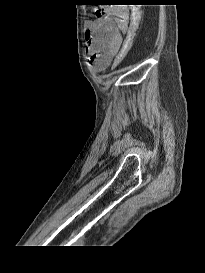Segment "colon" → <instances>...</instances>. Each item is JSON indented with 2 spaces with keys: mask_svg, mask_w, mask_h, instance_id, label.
I'll return each mask as SVG.
<instances>
[{
  "mask_svg": "<svg viewBox=\"0 0 205 273\" xmlns=\"http://www.w3.org/2000/svg\"><path fill=\"white\" fill-rule=\"evenodd\" d=\"M137 19H138L137 15H134L132 23L130 25L129 32H128L125 42L123 44V47H122L121 51L119 52V54L117 55V57L115 58V61L113 64L114 68H117L124 61V59L127 57L128 53L131 49V46H132V43H133V40H134V37L136 34V29L138 26Z\"/></svg>",
  "mask_w": 205,
  "mask_h": 273,
  "instance_id": "5ec220e1",
  "label": "colon"
}]
</instances>
